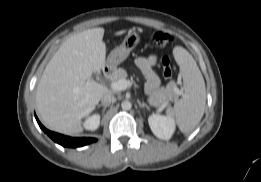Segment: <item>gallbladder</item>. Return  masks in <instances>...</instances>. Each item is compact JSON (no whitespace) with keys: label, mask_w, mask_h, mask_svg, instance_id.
<instances>
[{"label":"gallbladder","mask_w":261,"mask_h":182,"mask_svg":"<svg viewBox=\"0 0 261 182\" xmlns=\"http://www.w3.org/2000/svg\"><path fill=\"white\" fill-rule=\"evenodd\" d=\"M94 76H95V78L99 79L100 74L99 73H94Z\"/></svg>","instance_id":"bac80fb5"}]
</instances>
